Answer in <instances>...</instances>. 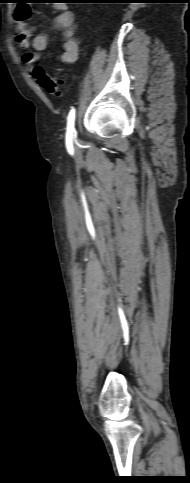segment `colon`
<instances>
[{
  "instance_id": "5ec220e1",
  "label": "colon",
  "mask_w": 190,
  "mask_h": 483,
  "mask_svg": "<svg viewBox=\"0 0 190 483\" xmlns=\"http://www.w3.org/2000/svg\"><path fill=\"white\" fill-rule=\"evenodd\" d=\"M28 2H26V5ZM18 19H23L25 15L23 12L18 13ZM32 75L35 78V80L38 82V84L49 94L59 97L62 95L63 92V85L62 82L56 79L55 77H52L48 75L45 70L41 66H36L32 70Z\"/></svg>"
}]
</instances>
